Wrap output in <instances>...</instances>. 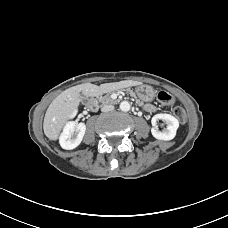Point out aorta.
I'll list each match as a JSON object with an SVG mask.
<instances>
[{"instance_id":"762f6f07","label":"aorta","mask_w":228,"mask_h":228,"mask_svg":"<svg viewBox=\"0 0 228 228\" xmlns=\"http://www.w3.org/2000/svg\"><path fill=\"white\" fill-rule=\"evenodd\" d=\"M130 108H131V106H130V103H129L128 101H122V102L120 103V109H121L122 111L127 112V111L130 110Z\"/></svg>"}]
</instances>
